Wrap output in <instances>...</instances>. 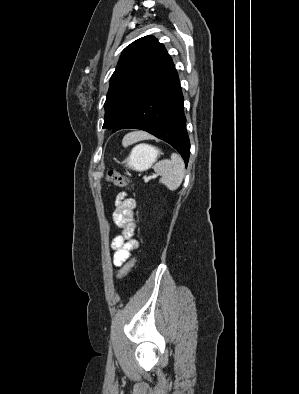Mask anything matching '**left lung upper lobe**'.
<instances>
[{"instance_id": "left-lung-upper-lobe-1", "label": "left lung upper lobe", "mask_w": 299, "mask_h": 394, "mask_svg": "<svg viewBox=\"0 0 299 394\" xmlns=\"http://www.w3.org/2000/svg\"><path fill=\"white\" fill-rule=\"evenodd\" d=\"M172 64L164 45L153 36L128 45L110 79L103 128L113 129L149 85Z\"/></svg>"}]
</instances>
